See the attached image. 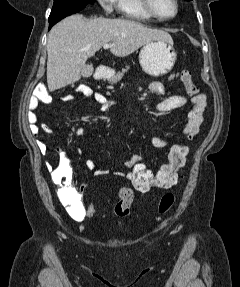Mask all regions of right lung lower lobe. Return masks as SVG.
Instances as JSON below:
<instances>
[{
    "mask_svg": "<svg viewBox=\"0 0 240 287\" xmlns=\"http://www.w3.org/2000/svg\"><path fill=\"white\" fill-rule=\"evenodd\" d=\"M63 18H64V17L58 18V19H55V20L49 22V23H50V24H49V30L51 29V27H52L53 25H55L58 21H60V20L63 19Z\"/></svg>",
    "mask_w": 240,
    "mask_h": 287,
    "instance_id": "98d812e1",
    "label": "right lung lower lobe"
}]
</instances>
